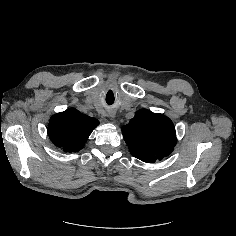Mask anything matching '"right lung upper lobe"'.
Instances as JSON below:
<instances>
[{
  "mask_svg": "<svg viewBox=\"0 0 236 236\" xmlns=\"http://www.w3.org/2000/svg\"><path fill=\"white\" fill-rule=\"evenodd\" d=\"M99 121L80 113L75 108L55 114L48 127L51 141L65 152H77L83 148Z\"/></svg>",
  "mask_w": 236,
  "mask_h": 236,
  "instance_id": "obj_1",
  "label": "right lung upper lobe"
}]
</instances>
